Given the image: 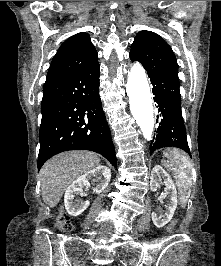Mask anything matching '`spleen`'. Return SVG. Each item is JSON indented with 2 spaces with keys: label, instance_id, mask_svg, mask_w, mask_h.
Listing matches in <instances>:
<instances>
[{
  "label": "spleen",
  "instance_id": "1",
  "mask_svg": "<svg viewBox=\"0 0 221 266\" xmlns=\"http://www.w3.org/2000/svg\"><path fill=\"white\" fill-rule=\"evenodd\" d=\"M164 156L169 160L162 161L163 165L172 171L176 185L179 189L182 203H186L190 197L192 185V164L186 153L178 149H167Z\"/></svg>",
  "mask_w": 221,
  "mask_h": 266
}]
</instances>
